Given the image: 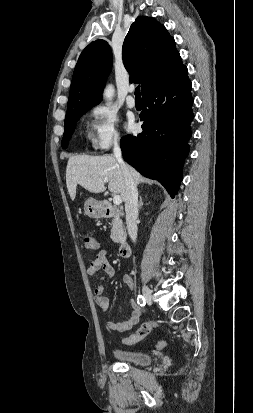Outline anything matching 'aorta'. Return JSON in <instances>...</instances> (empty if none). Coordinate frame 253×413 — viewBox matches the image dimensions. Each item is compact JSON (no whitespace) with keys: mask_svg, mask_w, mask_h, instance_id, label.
Segmentation results:
<instances>
[{"mask_svg":"<svg viewBox=\"0 0 253 413\" xmlns=\"http://www.w3.org/2000/svg\"><path fill=\"white\" fill-rule=\"evenodd\" d=\"M114 87L112 85H108L106 86L105 90H104V98L107 101H111L113 96H114Z\"/></svg>","mask_w":253,"mask_h":413,"instance_id":"obj_1","label":"aorta"}]
</instances>
